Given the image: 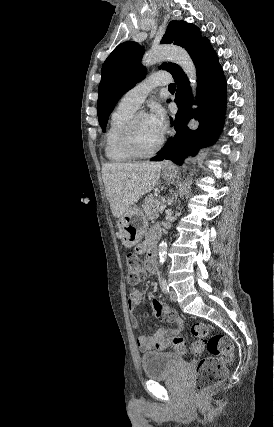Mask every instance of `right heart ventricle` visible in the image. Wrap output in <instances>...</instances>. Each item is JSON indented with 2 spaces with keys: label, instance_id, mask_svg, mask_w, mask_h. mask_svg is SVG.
Returning <instances> with one entry per match:
<instances>
[{
  "label": "right heart ventricle",
  "instance_id": "obj_1",
  "mask_svg": "<svg viewBox=\"0 0 274 427\" xmlns=\"http://www.w3.org/2000/svg\"><path fill=\"white\" fill-rule=\"evenodd\" d=\"M135 111L119 104L111 116L110 125L104 139V152L106 158L113 163H127L133 160L123 147L122 135L125 126L135 114Z\"/></svg>",
  "mask_w": 274,
  "mask_h": 427
}]
</instances>
